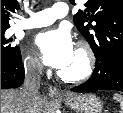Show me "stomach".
I'll return each instance as SVG.
<instances>
[{
	"mask_svg": "<svg viewBox=\"0 0 123 113\" xmlns=\"http://www.w3.org/2000/svg\"><path fill=\"white\" fill-rule=\"evenodd\" d=\"M66 106L79 113H101L102 103L95 95L70 94L59 98Z\"/></svg>",
	"mask_w": 123,
	"mask_h": 113,
	"instance_id": "1",
	"label": "stomach"
}]
</instances>
